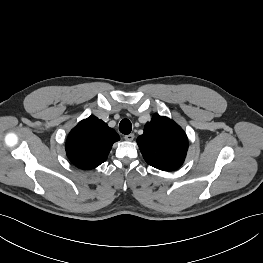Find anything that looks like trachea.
I'll use <instances>...</instances> for the list:
<instances>
[{"label":"trachea","mask_w":263,"mask_h":263,"mask_svg":"<svg viewBox=\"0 0 263 263\" xmlns=\"http://www.w3.org/2000/svg\"><path fill=\"white\" fill-rule=\"evenodd\" d=\"M119 130L122 134L128 135L132 130V124L128 119H123L119 124Z\"/></svg>","instance_id":"3493384b"}]
</instances>
